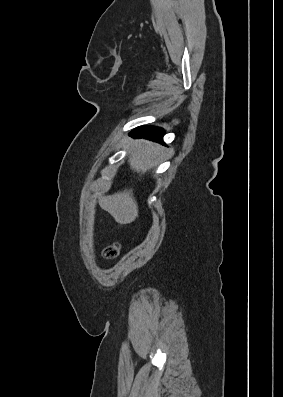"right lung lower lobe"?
I'll use <instances>...</instances> for the list:
<instances>
[{
    "instance_id": "right-lung-lower-lobe-1",
    "label": "right lung lower lobe",
    "mask_w": 283,
    "mask_h": 397,
    "mask_svg": "<svg viewBox=\"0 0 283 397\" xmlns=\"http://www.w3.org/2000/svg\"><path fill=\"white\" fill-rule=\"evenodd\" d=\"M164 135V131L160 128L152 127V126H143L139 127L132 131L131 136L137 138H146L155 140L158 142H162V137Z\"/></svg>"
}]
</instances>
